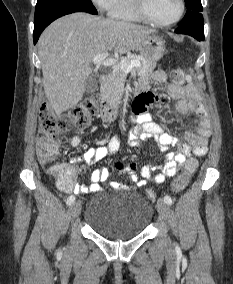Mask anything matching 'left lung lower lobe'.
<instances>
[{
    "label": "left lung lower lobe",
    "instance_id": "0a47b994",
    "mask_svg": "<svg viewBox=\"0 0 233 284\" xmlns=\"http://www.w3.org/2000/svg\"><path fill=\"white\" fill-rule=\"evenodd\" d=\"M178 34H187L198 41L204 40V23H193L190 25H180L176 30Z\"/></svg>",
    "mask_w": 233,
    "mask_h": 284
}]
</instances>
